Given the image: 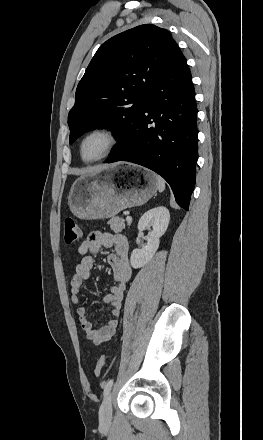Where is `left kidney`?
Listing matches in <instances>:
<instances>
[{"label":"left kidney","mask_w":263,"mask_h":440,"mask_svg":"<svg viewBox=\"0 0 263 440\" xmlns=\"http://www.w3.org/2000/svg\"><path fill=\"white\" fill-rule=\"evenodd\" d=\"M170 221L169 210L164 206H158L148 210L138 222V230H149L147 243L141 249H134L131 253L130 263L134 269L146 265L156 253L160 237L166 232Z\"/></svg>","instance_id":"5707ae66"}]
</instances>
